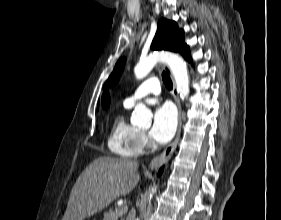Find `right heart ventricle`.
<instances>
[{
    "mask_svg": "<svg viewBox=\"0 0 281 220\" xmlns=\"http://www.w3.org/2000/svg\"><path fill=\"white\" fill-rule=\"evenodd\" d=\"M130 106L124 103V108ZM141 132L130 124L123 113L118 114L112 124L108 137L110 151L121 157H136L141 154L143 146L140 140Z\"/></svg>",
    "mask_w": 281,
    "mask_h": 220,
    "instance_id": "right-heart-ventricle-1",
    "label": "right heart ventricle"
}]
</instances>
